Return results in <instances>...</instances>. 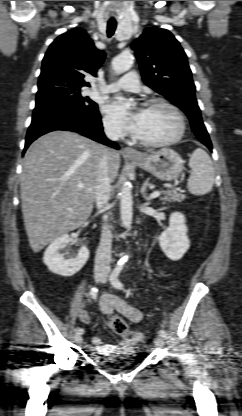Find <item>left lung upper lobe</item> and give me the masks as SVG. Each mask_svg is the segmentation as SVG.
<instances>
[{
	"instance_id": "obj_1",
	"label": "left lung upper lobe",
	"mask_w": 242,
	"mask_h": 416,
	"mask_svg": "<svg viewBox=\"0 0 242 416\" xmlns=\"http://www.w3.org/2000/svg\"><path fill=\"white\" fill-rule=\"evenodd\" d=\"M131 47L139 62L144 83L187 115L200 141L209 139L195 98V85L187 56L172 33L166 29L146 28Z\"/></svg>"
}]
</instances>
